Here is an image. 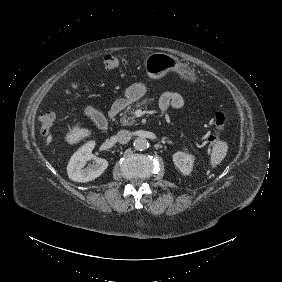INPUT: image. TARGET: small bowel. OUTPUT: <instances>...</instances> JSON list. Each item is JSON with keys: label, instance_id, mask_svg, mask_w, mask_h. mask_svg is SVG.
<instances>
[{"label": "small bowel", "instance_id": "small-bowel-1", "mask_svg": "<svg viewBox=\"0 0 282 282\" xmlns=\"http://www.w3.org/2000/svg\"><path fill=\"white\" fill-rule=\"evenodd\" d=\"M184 106V98L177 92H165L159 99V110L161 114H165L169 107L176 109Z\"/></svg>", "mask_w": 282, "mask_h": 282}]
</instances>
